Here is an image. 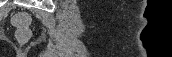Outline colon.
Here are the masks:
<instances>
[{
	"instance_id": "5ec220e1",
	"label": "colon",
	"mask_w": 172,
	"mask_h": 57,
	"mask_svg": "<svg viewBox=\"0 0 172 57\" xmlns=\"http://www.w3.org/2000/svg\"><path fill=\"white\" fill-rule=\"evenodd\" d=\"M13 24L17 28L19 41L22 43L26 42L30 37V17L25 13H18L13 19Z\"/></svg>"
}]
</instances>
